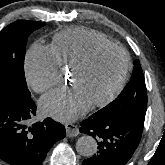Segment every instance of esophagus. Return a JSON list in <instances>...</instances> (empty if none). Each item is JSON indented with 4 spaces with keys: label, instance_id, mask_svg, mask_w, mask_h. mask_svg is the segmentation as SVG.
Masks as SVG:
<instances>
[{
    "label": "esophagus",
    "instance_id": "obj_1",
    "mask_svg": "<svg viewBox=\"0 0 165 165\" xmlns=\"http://www.w3.org/2000/svg\"><path fill=\"white\" fill-rule=\"evenodd\" d=\"M65 129H66V135L68 137H75L79 134L78 127L74 124L67 123L65 125Z\"/></svg>",
    "mask_w": 165,
    "mask_h": 165
}]
</instances>
